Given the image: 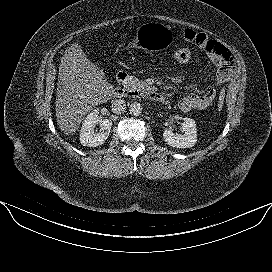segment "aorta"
I'll use <instances>...</instances> for the list:
<instances>
[{
    "label": "aorta",
    "mask_w": 272,
    "mask_h": 272,
    "mask_svg": "<svg viewBox=\"0 0 272 272\" xmlns=\"http://www.w3.org/2000/svg\"><path fill=\"white\" fill-rule=\"evenodd\" d=\"M130 114L133 116H139L142 113V106L138 102H133L129 107Z\"/></svg>",
    "instance_id": "762f6f07"
}]
</instances>
